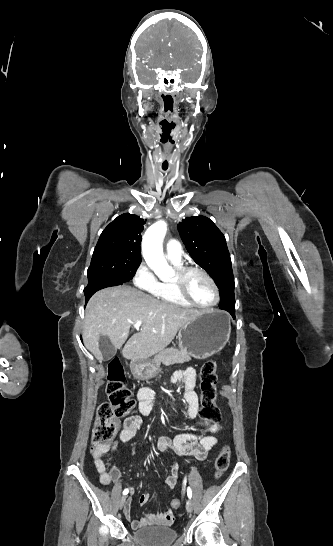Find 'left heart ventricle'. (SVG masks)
Returning <instances> with one entry per match:
<instances>
[{
	"instance_id": "b2bd125f",
	"label": "left heart ventricle",
	"mask_w": 333,
	"mask_h": 546,
	"mask_svg": "<svg viewBox=\"0 0 333 546\" xmlns=\"http://www.w3.org/2000/svg\"><path fill=\"white\" fill-rule=\"evenodd\" d=\"M189 295L200 304H211L215 300V292L209 281L198 272H191L186 279Z\"/></svg>"
}]
</instances>
